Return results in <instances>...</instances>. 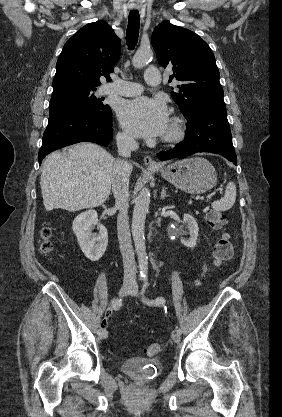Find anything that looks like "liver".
<instances>
[{"instance_id":"obj_1","label":"liver","mask_w":282,"mask_h":417,"mask_svg":"<svg viewBox=\"0 0 282 417\" xmlns=\"http://www.w3.org/2000/svg\"><path fill=\"white\" fill-rule=\"evenodd\" d=\"M116 160L105 148L80 142L48 154L42 168L41 190L46 211H80L100 206L111 190Z\"/></svg>"}]
</instances>
